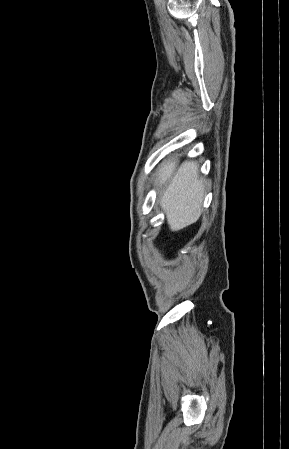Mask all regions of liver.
<instances>
[{"mask_svg":"<svg viewBox=\"0 0 289 449\" xmlns=\"http://www.w3.org/2000/svg\"><path fill=\"white\" fill-rule=\"evenodd\" d=\"M177 164V160L163 162L156 177L160 188L168 182L160 205L173 232L199 219L204 199V183L199 178L196 162H186L176 171Z\"/></svg>","mask_w":289,"mask_h":449,"instance_id":"liver-1","label":"liver"}]
</instances>
